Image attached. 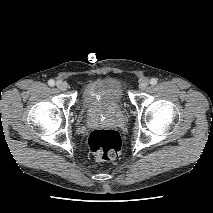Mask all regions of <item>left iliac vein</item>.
Listing matches in <instances>:
<instances>
[{
    "instance_id": "left-iliac-vein-1",
    "label": "left iliac vein",
    "mask_w": 213,
    "mask_h": 213,
    "mask_svg": "<svg viewBox=\"0 0 213 213\" xmlns=\"http://www.w3.org/2000/svg\"><path fill=\"white\" fill-rule=\"evenodd\" d=\"M149 85V80L148 79H142L140 82H139V88L141 90H144L147 86Z\"/></svg>"
}]
</instances>
